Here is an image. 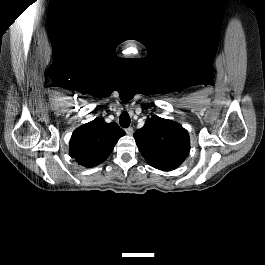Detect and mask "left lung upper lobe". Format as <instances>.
<instances>
[{
    "label": "left lung upper lobe",
    "mask_w": 265,
    "mask_h": 265,
    "mask_svg": "<svg viewBox=\"0 0 265 265\" xmlns=\"http://www.w3.org/2000/svg\"><path fill=\"white\" fill-rule=\"evenodd\" d=\"M139 151L154 168L178 167L190 151L189 134L179 123L153 117L134 133Z\"/></svg>",
    "instance_id": "left-lung-upper-lobe-1"
}]
</instances>
